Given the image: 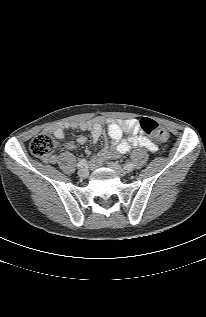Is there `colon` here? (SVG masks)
I'll list each match as a JSON object with an SVG mask.
<instances>
[{"label":"colon","mask_w":206,"mask_h":317,"mask_svg":"<svg viewBox=\"0 0 206 317\" xmlns=\"http://www.w3.org/2000/svg\"><path fill=\"white\" fill-rule=\"evenodd\" d=\"M140 127L144 133L153 137L161 144H166L169 138L167 130L151 118L144 117L140 121ZM30 152L43 159L51 157L56 149L54 138L48 133L35 136L29 145Z\"/></svg>","instance_id":"obj_1"}]
</instances>
